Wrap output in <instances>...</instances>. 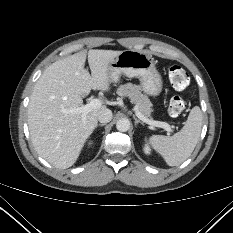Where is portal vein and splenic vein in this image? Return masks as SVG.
<instances>
[{
  "label": "portal vein and splenic vein",
  "instance_id": "portal-vein-and-splenic-vein-1",
  "mask_svg": "<svg viewBox=\"0 0 233 233\" xmlns=\"http://www.w3.org/2000/svg\"><path fill=\"white\" fill-rule=\"evenodd\" d=\"M102 105V101L99 99H92L88 104L83 105L81 107L77 108H72L69 110H66V113L70 114H82L83 118L91 112L93 109L99 108ZM135 114L136 116L142 120L144 123L154 126V127H160L165 129L167 132H173L171 126L168 123L165 122H160V121H154L149 118H146L139 110L137 107H135Z\"/></svg>",
  "mask_w": 233,
  "mask_h": 233
}]
</instances>
